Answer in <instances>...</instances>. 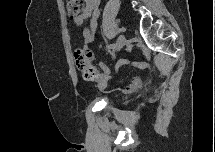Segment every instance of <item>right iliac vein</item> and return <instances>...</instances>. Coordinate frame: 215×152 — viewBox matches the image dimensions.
Masks as SVG:
<instances>
[{
    "label": "right iliac vein",
    "instance_id": "obj_1",
    "mask_svg": "<svg viewBox=\"0 0 215 152\" xmlns=\"http://www.w3.org/2000/svg\"><path fill=\"white\" fill-rule=\"evenodd\" d=\"M125 42H126V39H125V37L123 36V35H120L119 37H118V40H117V46H116V48H115V50L118 52V51H120L122 48H123V46L125 45Z\"/></svg>",
    "mask_w": 215,
    "mask_h": 152
}]
</instances>
